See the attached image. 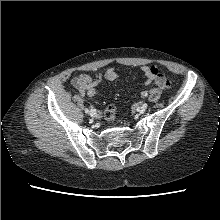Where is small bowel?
I'll return each mask as SVG.
<instances>
[{
	"label": "small bowel",
	"mask_w": 220,
	"mask_h": 220,
	"mask_svg": "<svg viewBox=\"0 0 220 220\" xmlns=\"http://www.w3.org/2000/svg\"><path fill=\"white\" fill-rule=\"evenodd\" d=\"M154 66H143L141 71L144 76V84L150 85L155 82L156 75L154 72ZM163 74V73H162ZM117 78V73L113 68L107 69L103 74L98 73L94 77L86 74H81L74 77L71 80L72 86L79 91L81 95H87L93 97L96 94L97 86L102 79L113 81Z\"/></svg>",
	"instance_id": "c3829d8e"
}]
</instances>
